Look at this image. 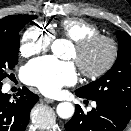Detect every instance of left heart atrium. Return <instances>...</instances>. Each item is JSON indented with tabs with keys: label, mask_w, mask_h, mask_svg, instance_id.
Wrapping results in <instances>:
<instances>
[{
	"label": "left heart atrium",
	"mask_w": 131,
	"mask_h": 131,
	"mask_svg": "<svg viewBox=\"0 0 131 131\" xmlns=\"http://www.w3.org/2000/svg\"><path fill=\"white\" fill-rule=\"evenodd\" d=\"M25 81L36 86L46 95H55L66 85L77 81L73 63L62 62L54 57H43L31 61L25 68Z\"/></svg>",
	"instance_id": "left-heart-atrium-1"
}]
</instances>
